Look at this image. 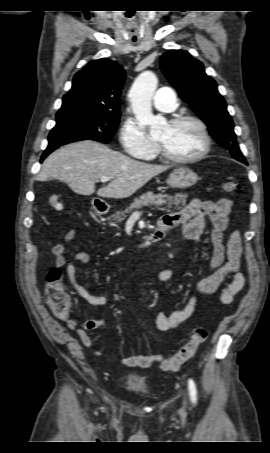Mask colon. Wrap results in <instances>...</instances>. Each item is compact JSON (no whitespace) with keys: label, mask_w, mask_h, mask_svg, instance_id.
<instances>
[{"label":"colon","mask_w":270,"mask_h":453,"mask_svg":"<svg viewBox=\"0 0 270 453\" xmlns=\"http://www.w3.org/2000/svg\"><path fill=\"white\" fill-rule=\"evenodd\" d=\"M223 189L226 192H236L240 189V185L236 180L229 179L223 183ZM48 204L56 211L64 209L63 201L58 195H51L48 198ZM46 281V294L51 311L59 317L70 315L72 301L64 288L61 270L57 267L50 269ZM207 335L206 329L202 327L195 329L189 341L176 354L161 362V369L164 371L178 370L195 355L198 348L206 341Z\"/></svg>","instance_id":"obj_1"}]
</instances>
